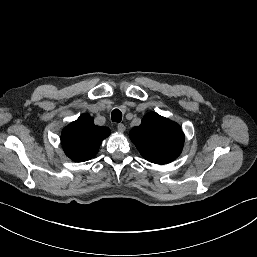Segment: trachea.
Segmentation results:
<instances>
[{
  "label": "trachea",
  "instance_id": "trachea-1",
  "mask_svg": "<svg viewBox=\"0 0 257 257\" xmlns=\"http://www.w3.org/2000/svg\"><path fill=\"white\" fill-rule=\"evenodd\" d=\"M112 121L114 122H121L122 120V113L119 109H114L111 113Z\"/></svg>",
  "mask_w": 257,
  "mask_h": 257
}]
</instances>
